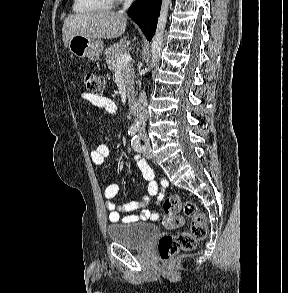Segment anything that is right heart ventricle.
<instances>
[{
  "label": "right heart ventricle",
  "instance_id": "right-heart-ventricle-1",
  "mask_svg": "<svg viewBox=\"0 0 288 293\" xmlns=\"http://www.w3.org/2000/svg\"><path fill=\"white\" fill-rule=\"evenodd\" d=\"M114 0H74L73 10L76 13H91L109 10Z\"/></svg>",
  "mask_w": 288,
  "mask_h": 293
}]
</instances>
